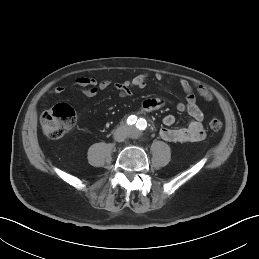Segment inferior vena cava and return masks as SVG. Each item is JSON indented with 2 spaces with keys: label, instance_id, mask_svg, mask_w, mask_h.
I'll list each match as a JSON object with an SVG mask.
<instances>
[{
  "label": "inferior vena cava",
  "instance_id": "602c4592",
  "mask_svg": "<svg viewBox=\"0 0 259 259\" xmlns=\"http://www.w3.org/2000/svg\"><path fill=\"white\" fill-rule=\"evenodd\" d=\"M114 139H115L116 141H118V142H122V141H124V139H125V135H124L123 133L119 132V131H116V132L114 133Z\"/></svg>",
  "mask_w": 259,
  "mask_h": 259
}]
</instances>
